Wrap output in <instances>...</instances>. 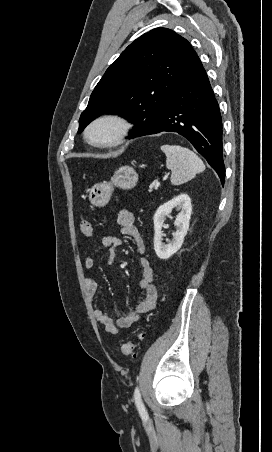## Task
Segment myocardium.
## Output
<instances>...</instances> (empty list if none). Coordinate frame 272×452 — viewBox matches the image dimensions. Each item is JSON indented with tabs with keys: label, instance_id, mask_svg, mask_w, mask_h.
Here are the masks:
<instances>
[{
	"label": "myocardium",
	"instance_id": "1",
	"mask_svg": "<svg viewBox=\"0 0 272 452\" xmlns=\"http://www.w3.org/2000/svg\"><path fill=\"white\" fill-rule=\"evenodd\" d=\"M109 126L112 129L111 135L105 140H95L92 134L100 126ZM130 124L126 118L115 113H105L95 117L89 122L84 131L85 140L92 146L106 148L119 145L127 136Z\"/></svg>",
	"mask_w": 272,
	"mask_h": 452
}]
</instances>
